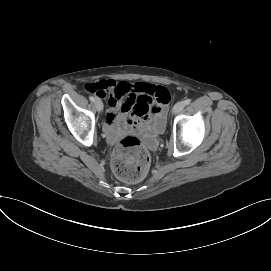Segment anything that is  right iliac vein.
<instances>
[{
	"mask_svg": "<svg viewBox=\"0 0 271 271\" xmlns=\"http://www.w3.org/2000/svg\"><path fill=\"white\" fill-rule=\"evenodd\" d=\"M94 104L98 112H101L103 110V103L100 99H96L94 101Z\"/></svg>",
	"mask_w": 271,
	"mask_h": 271,
	"instance_id": "1",
	"label": "right iliac vein"
}]
</instances>
